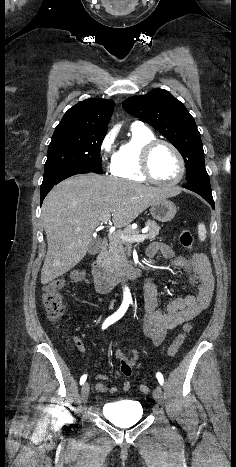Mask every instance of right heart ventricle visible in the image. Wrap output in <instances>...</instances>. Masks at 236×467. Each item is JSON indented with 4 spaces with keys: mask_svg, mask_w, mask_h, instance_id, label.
<instances>
[{
    "mask_svg": "<svg viewBox=\"0 0 236 467\" xmlns=\"http://www.w3.org/2000/svg\"><path fill=\"white\" fill-rule=\"evenodd\" d=\"M155 138L154 133L146 126L132 125L129 140L125 141L116 153L111 174L130 181H146V177L140 171V151L146 142Z\"/></svg>",
    "mask_w": 236,
    "mask_h": 467,
    "instance_id": "1",
    "label": "right heart ventricle"
}]
</instances>
